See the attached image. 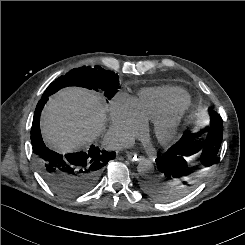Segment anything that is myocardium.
<instances>
[{
  "label": "myocardium",
  "mask_w": 245,
  "mask_h": 245,
  "mask_svg": "<svg viewBox=\"0 0 245 245\" xmlns=\"http://www.w3.org/2000/svg\"><path fill=\"white\" fill-rule=\"evenodd\" d=\"M187 106L172 111L154 121L153 134L158 142L166 144L177 135L185 117Z\"/></svg>",
  "instance_id": "f54148a6"
}]
</instances>
